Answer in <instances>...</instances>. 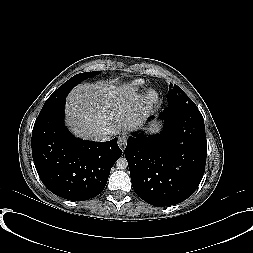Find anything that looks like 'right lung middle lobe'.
Segmentation results:
<instances>
[{
    "label": "right lung middle lobe",
    "instance_id": "obj_1",
    "mask_svg": "<svg viewBox=\"0 0 253 253\" xmlns=\"http://www.w3.org/2000/svg\"><path fill=\"white\" fill-rule=\"evenodd\" d=\"M97 73H98L97 71H94V72L80 73L73 76L68 81H66L61 87H59L55 92H53V94L46 100L44 106L61 101L67 96L69 91L74 86L79 84L81 81L96 75Z\"/></svg>",
    "mask_w": 253,
    "mask_h": 253
}]
</instances>
